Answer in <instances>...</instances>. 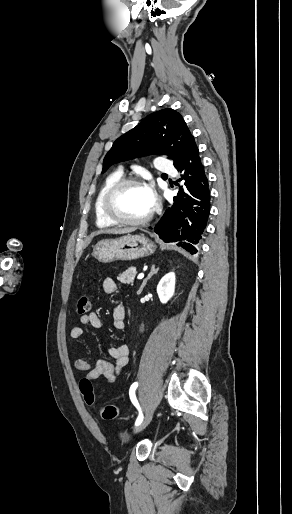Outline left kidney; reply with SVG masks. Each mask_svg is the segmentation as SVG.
<instances>
[{"label": "left kidney", "instance_id": "left-kidney-1", "mask_svg": "<svg viewBox=\"0 0 292 514\" xmlns=\"http://www.w3.org/2000/svg\"><path fill=\"white\" fill-rule=\"evenodd\" d=\"M175 290V274L169 272L166 276H163L157 286V294L162 304H167L168 300L172 298Z\"/></svg>", "mask_w": 292, "mask_h": 514}]
</instances>
